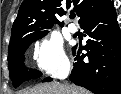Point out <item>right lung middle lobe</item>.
<instances>
[{
    "label": "right lung middle lobe",
    "instance_id": "right-lung-middle-lobe-1",
    "mask_svg": "<svg viewBox=\"0 0 121 94\" xmlns=\"http://www.w3.org/2000/svg\"><path fill=\"white\" fill-rule=\"evenodd\" d=\"M48 31H28L25 32L21 37L16 41L9 44V53H8V64L10 78L13 82V86L17 87L20 83L38 78L42 75L40 71L30 69L27 71L24 67V52L29 47V45L44 37Z\"/></svg>",
    "mask_w": 121,
    "mask_h": 94
}]
</instances>
